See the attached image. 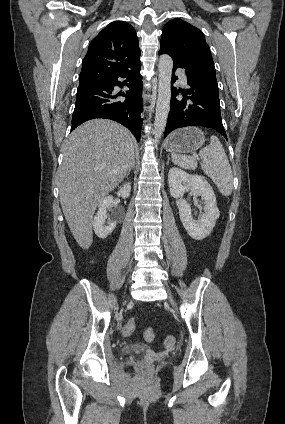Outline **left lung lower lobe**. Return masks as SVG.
<instances>
[{
    "label": "left lung lower lobe",
    "instance_id": "obj_1",
    "mask_svg": "<svg viewBox=\"0 0 285 424\" xmlns=\"http://www.w3.org/2000/svg\"><path fill=\"white\" fill-rule=\"evenodd\" d=\"M164 53L168 54L160 49L159 54ZM177 68L185 69L189 88L177 90L172 87L171 106L164 137L177 128L205 126L218 131L227 139L220 114L214 65L200 62L184 64L173 59V75ZM174 81L172 78V83ZM178 93H182L183 98L176 97Z\"/></svg>",
    "mask_w": 285,
    "mask_h": 424
}]
</instances>
